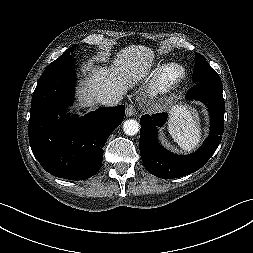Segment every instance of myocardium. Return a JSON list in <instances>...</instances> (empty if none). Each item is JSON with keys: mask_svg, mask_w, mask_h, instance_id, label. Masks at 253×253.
Wrapping results in <instances>:
<instances>
[{"mask_svg": "<svg viewBox=\"0 0 253 253\" xmlns=\"http://www.w3.org/2000/svg\"><path fill=\"white\" fill-rule=\"evenodd\" d=\"M186 78V69L177 63L164 65L156 74L154 86L157 90H169L180 85Z\"/></svg>", "mask_w": 253, "mask_h": 253, "instance_id": "obj_1", "label": "myocardium"}]
</instances>
